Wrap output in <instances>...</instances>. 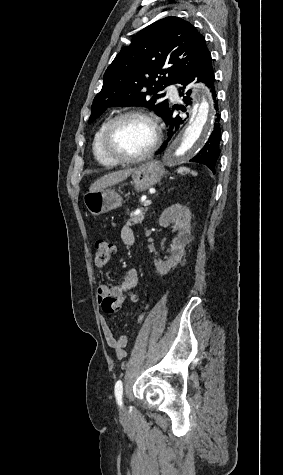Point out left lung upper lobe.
I'll return each instance as SVG.
<instances>
[{
  "instance_id": "obj_1",
  "label": "left lung upper lobe",
  "mask_w": 283,
  "mask_h": 475,
  "mask_svg": "<svg viewBox=\"0 0 283 475\" xmlns=\"http://www.w3.org/2000/svg\"><path fill=\"white\" fill-rule=\"evenodd\" d=\"M210 57L204 37L191 23L175 16L152 23L107 68L88 122L110 106H144L163 115L168 101L157 93Z\"/></svg>"
}]
</instances>
